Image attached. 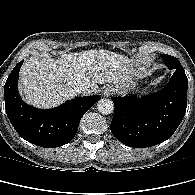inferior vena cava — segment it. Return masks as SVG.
Masks as SVG:
<instances>
[{"label": "inferior vena cava", "mask_w": 195, "mask_h": 195, "mask_svg": "<svg viewBox=\"0 0 195 195\" xmlns=\"http://www.w3.org/2000/svg\"><path fill=\"white\" fill-rule=\"evenodd\" d=\"M74 91L80 94H89L92 92V87L88 84H82L74 87Z\"/></svg>", "instance_id": "1"}]
</instances>
